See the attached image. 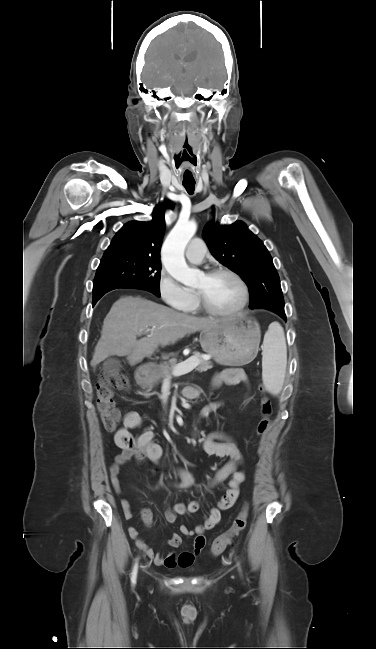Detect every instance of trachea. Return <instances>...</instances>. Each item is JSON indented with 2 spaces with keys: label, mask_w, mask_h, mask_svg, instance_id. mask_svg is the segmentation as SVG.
<instances>
[{
  "label": "trachea",
  "mask_w": 376,
  "mask_h": 649,
  "mask_svg": "<svg viewBox=\"0 0 376 649\" xmlns=\"http://www.w3.org/2000/svg\"><path fill=\"white\" fill-rule=\"evenodd\" d=\"M183 186L187 190L189 194H193L194 189H195V182L194 183H183Z\"/></svg>",
  "instance_id": "1"
}]
</instances>
